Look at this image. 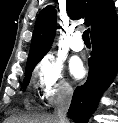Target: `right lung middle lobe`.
Masks as SVG:
<instances>
[{"label":"right lung middle lobe","mask_w":118,"mask_h":123,"mask_svg":"<svg viewBox=\"0 0 118 123\" xmlns=\"http://www.w3.org/2000/svg\"><path fill=\"white\" fill-rule=\"evenodd\" d=\"M35 66H33L32 68L28 69L25 71V78H24V81H23V88L25 90L26 86L29 84V81H30V78H31V73L33 71Z\"/></svg>","instance_id":"right-lung-middle-lobe-1"}]
</instances>
